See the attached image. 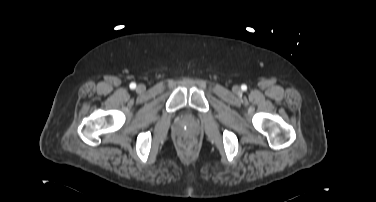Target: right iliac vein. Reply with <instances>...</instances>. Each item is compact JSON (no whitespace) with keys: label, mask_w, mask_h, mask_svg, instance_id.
I'll list each match as a JSON object with an SVG mask.
<instances>
[{"label":"right iliac vein","mask_w":376,"mask_h":202,"mask_svg":"<svg viewBox=\"0 0 376 202\" xmlns=\"http://www.w3.org/2000/svg\"><path fill=\"white\" fill-rule=\"evenodd\" d=\"M145 90V86L143 84H140L137 86V91L138 92H143Z\"/></svg>","instance_id":"1"}]
</instances>
